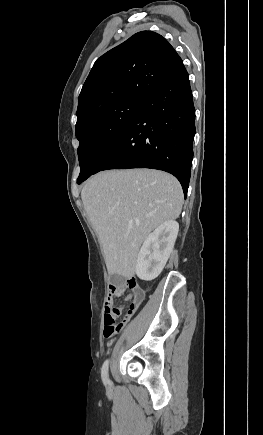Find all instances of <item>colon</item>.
Here are the masks:
<instances>
[{"label": "colon", "instance_id": "5ec220e1", "mask_svg": "<svg viewBox=\"0 0 263 435\" xmlns=\"http://www.w3.org/2000/svg\"><path fill=\"white\" fill-rule=\"evenodd\" d=\"M112 295H121L124 290H129L130 294L128 296V300H130V306L127 313V318H130L132 314L137 309L140 301L143 298V290L138 286L135 279H127L121 285H112L110 287ZM120 314V309L111 308L104 315V335L105 337H112L117 334L121 329L123 324L117 323L116 319Z\"/></svg>", "mask_w": 263, "mask_h": 435}]
</instances>
